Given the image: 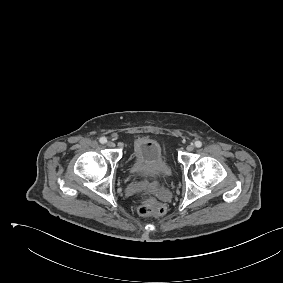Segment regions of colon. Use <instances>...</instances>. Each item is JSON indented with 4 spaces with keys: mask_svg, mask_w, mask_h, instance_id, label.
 <instances>
[{
    "mask_svg": "<svg viewBox=\"0 0 283 283\" xmlns=\"http://www.w3.org/2000/svg\"><path fill=\"white\" fill-rule=\"evenodd\" d=\"M140 198L141 204L138 208V213L140 216L158 217L166 213V207L162 203L154 199L150 193H141Z\"/></svg>",
    "mask_w": 283,
    "mask_h": 283,
    "instance_id": "1",
    "label": "colon"
}]
</instances>
